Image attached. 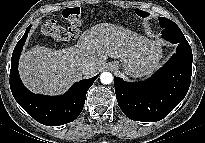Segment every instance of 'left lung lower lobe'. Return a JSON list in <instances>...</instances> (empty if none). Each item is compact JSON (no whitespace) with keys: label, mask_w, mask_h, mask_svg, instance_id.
I'll return each mask as SVG.
<instances>
[{"label":"left lung lower lobe","mask_w":205,"mask_h":143,"mask_svg":"<svg viewBox=\"0 0 205 143\" xmlns=\"http://www.w3.org/2000/svg\"><path fill=\"white\" fill-rule=\"evenodd\" d=\"M162 37L178 44L176 53L151 78L128 83L114 77L117 102L130 119L155 122L166 117L186 96L192 72V50L178 26L163 28Z\"/></svg>","instance_id":"obj_1"}]
</instances>
